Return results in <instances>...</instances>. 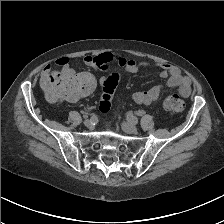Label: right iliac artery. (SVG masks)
Instances as JSON below:
<instances>
[{
  "label": "right iliac artery",
  "instance_id": "obj_1",
  "mask_svg": "<svg viewBox=\"0 0 224 224\" xmlns=\"http://www.w3.org/2000/svg\"><path fill=\"white\" fill-rule=\"evenodd\" d=\"M90 120L93 122V124H95V123H97L98 118H97V116H96L95 114H93V115L91 116V119H90Z\"/></svg>",
  "mask_w": 224,
  "mask_h": 224
}]
</instances>
